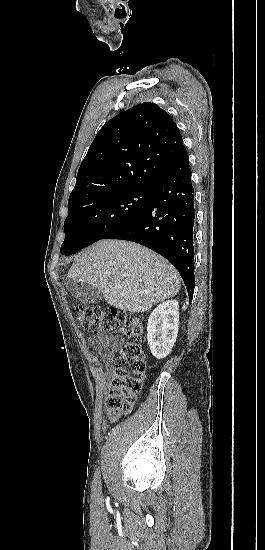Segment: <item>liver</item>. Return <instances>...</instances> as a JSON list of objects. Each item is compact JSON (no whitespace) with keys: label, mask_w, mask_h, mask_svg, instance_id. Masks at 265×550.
Returning a JSON list of instances; mask_svg holds the SVG:
<instances>
[{"label":"liver","mask_w":265,"mask_h":550,"mask_svg":"<svg viewBox=\"0 0 265 550\" xmlns=\"http://www.w3.org/2000/svg\"><path fill=\"white\" fill-rule=\"evenodd\" d=\"M68 278L97 288L116 309L139 313L175 296L181 277L150 249L124 240H101L76 256Z\"/></svg>","instance_id":"6515ba94"}]
</instances>
